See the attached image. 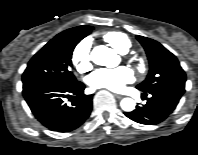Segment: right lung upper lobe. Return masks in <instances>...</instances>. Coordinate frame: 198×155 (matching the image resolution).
Here are the masks:
<instances>
[{
	"mask_svg": "<svg viewBox=\"0 0 198 155\" xmlns=\"http://www.w3.org/2000/svg\"><path fill=\"white\" fill-rule=\"evenodd\" d=\"M86 27H88V26H79V27L71 28V29H68V30H65V31L61 32V33L58 34V35L68 34V33H70V32H74V31H77V30H81V29H84V28H86Z\"/></svg>",
	"mask_w": 198,
	"mask_h": 155,
	"instance_id": "1",
	"label": "right lung upper lobe"
}]
</instances>
